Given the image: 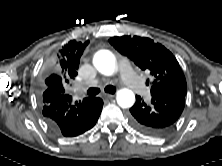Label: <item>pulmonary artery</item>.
I'll use <instances>...</instances> for the list:
<instances>
[{
	"label": "pulmonary artery",
	"instance_id": "e3ab8cb5",
	"mask_svg": "<svg viewBox=\"0 0 222 166\" xmlns=\"http://www.w3.org/2000/svg\"><path fill=\"white\" fill-rule=\"evenodd\" d=\"M119 70H120L121 79L128 88L134 91H141L142 93L145 92V87L141 85L140 78L134 71L129 61L127 60L121 61L119 64ZM88 84L96 85L97 81L93 80V81H90ZM83 88H84V85H80L78 87L79 90H82Z\"/></svg>",
	"mask_w": 222,
	"mask_h": 166
}]
</instances>
